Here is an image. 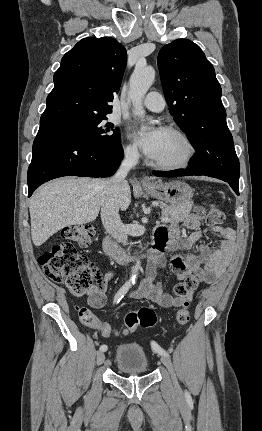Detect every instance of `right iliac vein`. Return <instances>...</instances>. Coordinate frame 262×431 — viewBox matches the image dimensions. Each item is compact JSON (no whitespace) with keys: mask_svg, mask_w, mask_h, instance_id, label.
<instances>
[{"mask_svg":"<svg viewBox=\"0 0 262 431\" xmlns=\"http://www.w3.org/2000/svg\"><path fill=\"white\" fill-rule=\"evenodd\" d=\"M105 361V354L104 352L100 351L97 355V364L101 365Z\"/></svg>","mask_w":262,"mask_h":431,"instance_id":"1","label":"right iliac vein"}]
</instances>
